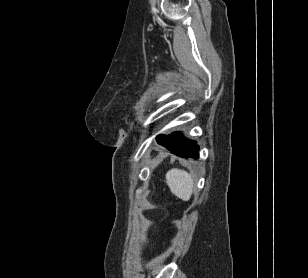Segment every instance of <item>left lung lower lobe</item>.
I'll use <instances>...</instances> for the list:
<instances>
[{"label": "left lung lower lobe", "instance_id": "1", "mask_svg": "<svg viewBox=\"0 0 308 278\" xmlns=\"http://www.w3.org/2000/svg\"><path fill=\"white\" fill-rule=\"evenodd\" d=\"M158 144L166 147L172 153L185 158L199 157V146L195 141L184 138L180 133L175 132L169 136L160 135L157 138Z\"/></svg>", "mask_w": 308, "mask_h": 278}]
</instances>
